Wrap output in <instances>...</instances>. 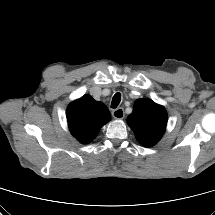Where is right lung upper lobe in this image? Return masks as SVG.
Returning a JSON list of instances; mask_svg holds the SVG:
<instances>
[{
  "label": "right lung upper lobe",
  "instance_id": "obj_1",
  "mask_svg": "<svg viewBox=\"0 0 215 215\" xmlns=\"http://www.w3.org/2000/svg\"><path fill=\"white\" fill-rule=\"evenodd\" d=\"M66 115L71 134L83 144L91 142L111 118L107 107L88 94L72 102Z\"/></svg>",
  "mask_w": 215,
  "mask_h": 215
}]
</instances>
